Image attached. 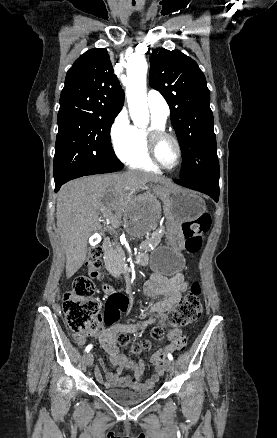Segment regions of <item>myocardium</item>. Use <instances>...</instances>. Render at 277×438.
<instances>
[{"label":"myocardium","mask_w":277,"mask_h":438,"mask_svg":"<svg viewBox=\"0 0 277 438\" xmlns=\"http://www.w3.org/2000/svg\"><path fill=\"white\" fill-rule=\"evenodd\" d=\"M165 139L171 140L175 144L177 150L176 162L171 167L164 165L159 157V148ZM146 145L151 160L158 168L166 171H172L179 166L182 159V146L180 141L173 134L167 132L163 128L151 126L146 130Z\"/></svg>","instance_id":"f54148a6"}]
</instances>
